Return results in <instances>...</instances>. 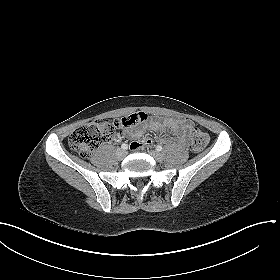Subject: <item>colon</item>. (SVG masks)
I'll list each match as a JSON object with an SVG mask.
<instances>
[{
    "instance_id": "colon-1",
    "label": "colon",
    "mask_w": 280,
    "mask_h": 280,
    "mask_svg": "<svg viewBox=\"0 0 280 280\" xmlns=\"http://www.w3.org/2000/svg\"><path fill=\"white\" fill-rule=\"evenodd\" d=\"M145 119L146 116L142 113L130 115L117 122L97 119L75 129L69 137L68 144L72 150L88 158L99 145L113 140L119 128L133 127ZM189 141L194 151H200L208 144L209 137L204 131L194 128L190 132ZM140 145L139 142L133 141L131 149L136 150Z\"/></svg>"
}]
</instances>
